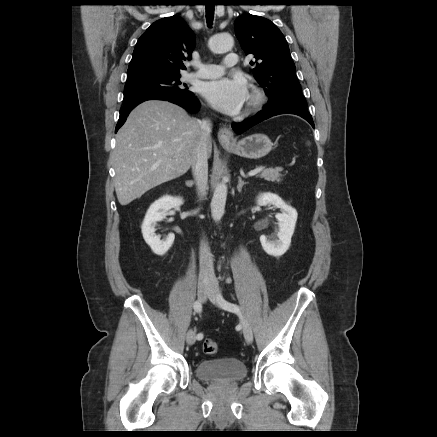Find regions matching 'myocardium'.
<instances>
[{"label":"myocardium","mask_w":437,"mask_h":437,"mask_svg":"<svg viewBox=\"0 0 437 437\" xmlns=\"http://www.w3.org/2000/svg\"><path fill=\"white\" fill-rule=\"evenodd\" d=\"M265 99L264 93L260 89L254 88L249 95L245 113L251 114L258 111L264 105Z\"/></svg>","instance_id":"obj_1"}]
</instances>
